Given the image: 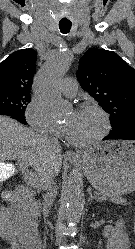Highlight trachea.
Here are the masks:
<instances>
[{"instance_id": "trachea-1", "label": "trachea", "mask_w": 135, "mask_h": 249, "mask_svg": "<svg viewBox=\"0 0 135 249\" xmlns=\"http://www.w3.org/2000/svg\"><path fill=\"white\" fill-rule=\"evenodd\" d=\"M71 26H72V23L71 22H60L59 23V28H60V31L63 33V34H66L70 31L71 29Z\"/></svg>"}]
</instances>
